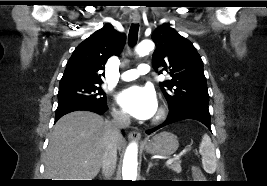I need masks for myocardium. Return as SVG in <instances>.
Segmentation results:
<instances>
[{
    "label": "myocardium",
    "mask_w": 267,
    "mask_h": 186,
    "mask_svg": "<svg viewBox=\"0 0 267 186\" xmlns=\"http://www.w3.org/2000/svg\"><path fill=\"white\" fill-rule=\"evenodd\" d=\"M167 110L164 106H160L157 111L155 116L152 119L153 124H157L161 122L165 117H166Z\"/></svg>",
    "instance_id": "obj_1"
}]
</instances>
